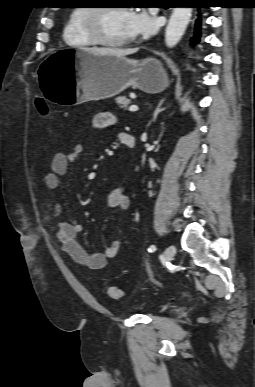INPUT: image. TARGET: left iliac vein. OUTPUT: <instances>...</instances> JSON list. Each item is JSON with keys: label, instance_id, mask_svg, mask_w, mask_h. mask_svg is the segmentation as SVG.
I'll list each match as a JSON object with an SVG mask.
<instances>
[{"label": "left iliac vein", "instance_id": "4c4485c4", "mask_svg": "<svg viewBox=\"0 0 255 387\" xmlns=\"http://www.w3.org/2000/svg\"><path fill=\"white\" fill-rule=\"evenodd\" d=\"M176 253V248L173 245L168 246L164 253H163V259L165 261H171Z\"/></svg>", "mask_w": 255, "mask_h": 387}]
</instances>
